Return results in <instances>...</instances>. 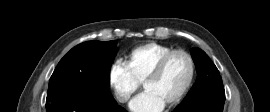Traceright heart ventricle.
Returning a JSON list of instances; mask_svg holds the SVG:
<instances>
[{"mask_svg":"<svg viewBox=\"0 0 270 112\" xmlns=\"http://www.w3.org/2000/svg\"><path fill=\"white\" fill-rule=\"evenodd\" d=\"M171 50L173 48L167 45L147 43L129 51L125 56V65L134 78L143 83L157 61Z\"/></svg>","mask_w":270,"mask_h":112,"instance_id":"right-heart-ventricle-1","label":"right heart ventricle"}]
</instances>
